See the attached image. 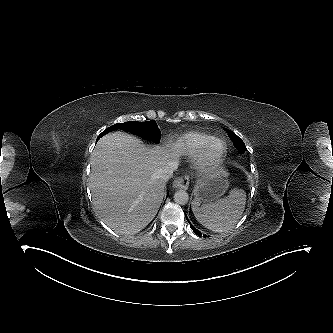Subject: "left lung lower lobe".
Masks as SVG:
<instances>
[{"instance_id":"0a47b994","label":"left lung lower lobe","mask_w":333,"mask_h":333,"mask_svg":"<svg viewBox=\"0 0 333 333\" xmlns=\"http://www.w3.org/2000/svg\"><path fill=\"white\" fill-rule=\"evenodd\" d=\"M186 216V215H185ZM186 219H187V221L189 222V220H188V218H187V216H186ZM189 224H190V227L193 229V231H194V233L196 234V235H198V236H202V234H201V232L200 231H198L196 228H194V226L189 222ZM204 237H207L206 235H203Z\"/></svg>"}]
</instances>
